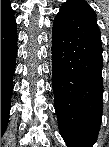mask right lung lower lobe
Returning a JSON list of instances; mask_svg holds the SVG:
<instances>
[{
  "mask_svg": "<svg viewBox=\"0 0 109 147\" xmlns=\"http://www.w3.org/2000/svg\"><path fill=\"white\" fill-rule=\"evenodd\" d=\"M16 55L17 29L12 16L1 23V135L8 124Z\"/></svg>",
  "mask_w": 109,
  "mask_h": 147,
  "instance_id": "obj_1",
  "label": "right lung lower lobe"
}]
</instances>
